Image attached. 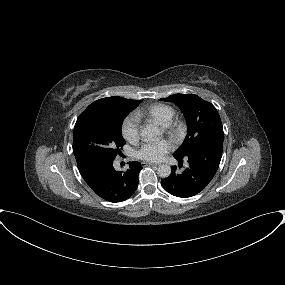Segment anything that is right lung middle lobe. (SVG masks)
<instances>
[{
	"label": "right lung middle lobe",
	"instance_id": "1",
	"mask_svg": "<svg viewBox=\"0 0 285 285\" xmlns=\"http://www.w3.org/2000/svg\"><path fill=\"white\" fill-rule=\"evenodd\" d=\"M140 102L124 99L83 112L74 127L73 152L76 161L114 160L125 144L121 133L123 120Z\"/></svg>",
	"mask_w": 285,
	"mask_h": 285
}]
</instances>
